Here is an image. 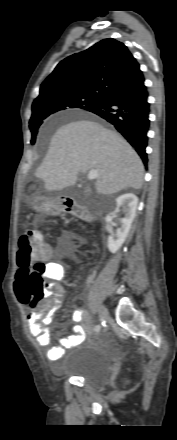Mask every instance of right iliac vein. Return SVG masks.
<instances>
[{
	"label": "right iliac vein",
	"mask_w": 177,
	"mask_h": 440,
	"mask_svg": "<svg viewBox=\"0 0 177 440\" xmlns=\"http://www.w3.org/2000/svg\"><path fill=\"white\" fill-rule=\"evenodd\" d=\"M108 315H109V313H108L107 308H106L105 306L101 305V306L99 307V316H100V319H101V320H105V319H107Z\"/></svg>",
	"instance_id": "obj_1"
}]
</instances>
